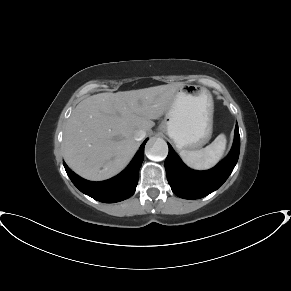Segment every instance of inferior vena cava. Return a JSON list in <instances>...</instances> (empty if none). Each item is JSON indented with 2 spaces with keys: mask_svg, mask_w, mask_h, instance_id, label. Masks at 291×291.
Returning a JSON list of instances; mask_svg holds the SVG:
<instances>
[{
  "mask_svg": "<svg viewBox=\"0 0 291 291\" xmlns=\"http://www.w3.org/2000/svg\"><path fill=\"white\" fill-rule=\"evenodd\" d=\"M146 136V132L144 130H137L134 134V139L136 141L142 140Z\"/></svg>",
  "mask_w": 291,
  "mask_h": 291,
  "instance_id": "inferior-vena-cava-1",
  "label": "inferior vena cava"
}]
</instances>
